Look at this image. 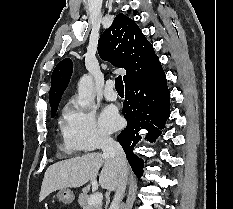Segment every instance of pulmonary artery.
I'll return each instance as SVG.
<instances>
[{"mask_svg":"<svg viewBox=\"0 0 233 209\" xmlns=\"http://www.w3.org/2000/svg\"><path fill=\"white\" fill-rule=\"evenodd\" d=\"M104 96L107 100L114 101L117 99L118 94L114 89V82L112 80H108L105 84Z\"/></svg>","mask_w":233,"mask_h":209,"instance_id":"pulmonary-artery-1","label":"pulmonary artery"}]
</instances>
